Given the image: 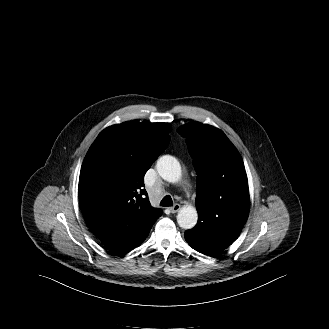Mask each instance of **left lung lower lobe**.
Masks as SVG:
<instances>
[{
    "mask_svg": "<svg viewBox=\"0 0 329 329\" xmlns=\"http://www.w3.org/2000/svg\"><path fill=\"white\" fill-rule=\"evenodd\" d=\"M242 228L228 227L212 239L199 237L192 230L185 232V240L196 251L215 256L227 248L240 234Z\"/></svg>",
    "mask_w": 329,
    "mask_h": 329,
    "instance_id": "obj_1",
    "label": "left lung lower lobe"
}]
</instances>
